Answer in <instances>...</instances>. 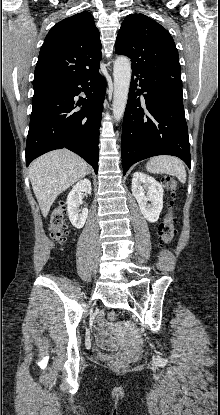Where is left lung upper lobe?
<instances>
[{"instance_id":"5c2ea615","label":"left lung upper lobe","mask_w":220,"mask_h":415,"mask_svg":"<svg viewBox=\"0 0 220 415\" xmlns=\"http://www.w3.org/2000/svg\"><path fill=\"white\" fill-rule=\"evenodd\" d=\"M115 51L131 59L132 69L181 77L178 51L170 33L143 14H130L124 19Z\"/></svg>"}]
</instances>
